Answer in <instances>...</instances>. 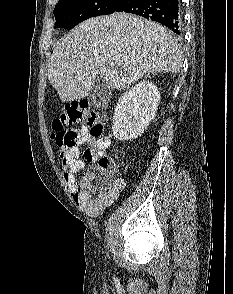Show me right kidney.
I'll return each instance as SVG.
<instances>
[{
	"label": "right kidney",
	"instance_id": "obj_1",
	"mask_svg": "<svg viewBox=\"0 0 233 294\" xmlns=\"http://www.w3.org/2000/svg\"><path fill=\"white\" fill-rule=\"evenodd\" d=\"M160 100L157 87L148 80L140 81L124 93L115 107L112 130L121 141L140 136L154 118Z\"/></svg>",
	"mask_w": 233,
	"mask_h": 294
}]
</instances>
